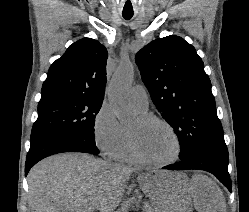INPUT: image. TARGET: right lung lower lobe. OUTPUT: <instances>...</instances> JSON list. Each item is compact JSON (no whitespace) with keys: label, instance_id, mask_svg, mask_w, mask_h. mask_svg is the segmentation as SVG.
Listing matches in <instances>:
<instances>
[{"label":"right lung lower lobe","instance_id":"obj_1","mask_svg":"<svg viewBox=\"0 0 249 212\" xmlns=\"http://www.w3.org/2000/svg\"><path fill=\"white\" fill-rule=\"evenodd\" d=\"M62 152L99 153L96 145L75 134L59 132L37 136L31 140L25 163V175L38 161Z\"/></svg>","mask_w":249,"mask_h":212}]
</instances>
